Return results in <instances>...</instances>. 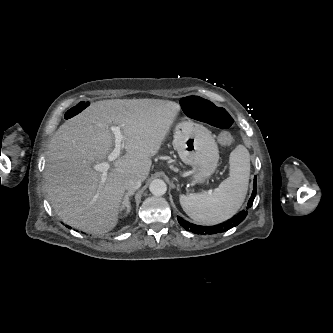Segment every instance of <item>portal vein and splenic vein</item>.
Here are the masks:
<instances>
[{
  "label": "portal vein and splenic vein",
  "instance_id": "18ae733b",
  "mask_svg": "<svg viewBox=\"0 0 333 333\" xmlns=\"http://www.w3.org/2000/svg\"><path fill=\"white\" fill-rule=\"evenodd\" d=\"M111 131L114 134L115 140H114V149L112 152L108 155V161H114L116 160L121 153V150L123 148V141L126 140V136L122 134L120 130V126H112ZM110 168V164L108 162H102V163H97L93 165V169L97 172L102 173L101 176V183H105L107 179V172Z\"/></svg>",
  "mask_w": 333,
  "mask_h": 333
}]
</instances>
